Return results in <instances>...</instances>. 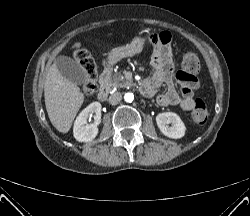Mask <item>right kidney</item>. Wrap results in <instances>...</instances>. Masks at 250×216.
Instances as JSON below:
<instances>
[{"mask_svg":"<svg viewBox=\"0 0 250 216\" xmlns=\"http://www.w3.org/2000/svg\"><path fill=\"white\" fill-rule=\"evenodd\" d=\"M94 114V122L87 125L88 117ZM101 122V104L93 102L88 105L76 118L73 134L79 142L92 141L98 134V125Z\"/></svg>","mask_w":250,"mask_h":216,"instance_id":"ca27d5eb","label":"right kidney"}]
</instances>
